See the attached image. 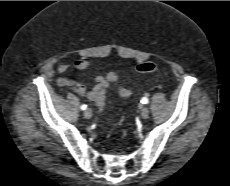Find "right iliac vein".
I'll return each mask as SVG.
<instances>
[{"instance_id": "obj_1", "label": "right iliac vein", "mask_w": 230, "mask_h": 186, "mask_svg": "<svg viewBox=\"0 0 230 186\" xmlns=\"http://www.w3.org/2000/svg\"><path fill=\"white\" fill-rule=\"evenodd\" d=\"M84 117L88 118V119L91 118L92 117V111L90 109H86L84 111Z\"/></svg>"}]
</instances>
